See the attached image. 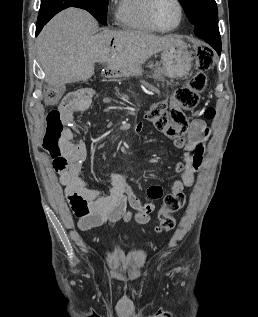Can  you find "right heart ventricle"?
Masks as SVG:
<instances>
[{"instance_id":"e07e8e85","label":"right heart ventricle","mask_w":258,"mask_h":317,"mask_svg":"<svg viewBox=\"0 0 258 317\" xmlns=\"http://www.w3.org/2000/svg\"><path fill=\"white\" fill-rule=\"evenodd\" d=\"M151 0H119L115 10L116 24L128 31L152 34L157 30L147 19Z\"/></svg>"}]
</instances>
